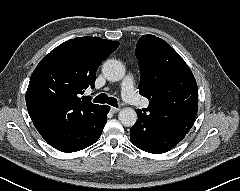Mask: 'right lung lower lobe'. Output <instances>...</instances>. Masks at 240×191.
I'll return each instance as SVG.
<instances>
[{
  "instance_id": "98d812e1",
  "label": "right lung lower lobe",
  "mask_w": 240,
  "mask_h": 191,
  "mask_svg": "<svg viewBox=\"0 0 240 191\" xmlns=\"http://www.w3.org/2000/svg\"><path fill=\"white\" fill-rule=\"evenodd\" d=\"M109 110V106L101 105L82 118H57L36 129L55 149L62 152H77L98 140L107 121Z\"/></svg>"
}]
</instances>
